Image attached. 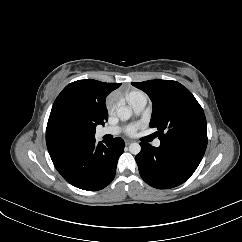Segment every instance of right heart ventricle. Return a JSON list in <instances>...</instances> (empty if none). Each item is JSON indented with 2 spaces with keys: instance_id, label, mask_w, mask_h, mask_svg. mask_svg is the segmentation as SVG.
I'll list each match as a JSON object with an SVG mask.
<instances>
[{
  "instance_id": "1",
  "label": "right heart ventricle",
  "mask_w": 242,
  "mask_h": 242,
  "mask_svg": "<svg viewBox=\"0 0 242 242\" xmlns=\"http://www.w3.org/2000/svg\"><path fill=\"white\" fill-rule=\"evenodd\" d=\"M140 94H143V93H141V92H139V91H133V92L129 93L128 96H127V99H128V101H129V103H130V101H131L133 98H135L136 96H138V95H140Z\"/></svg>"
}]
</instances>
